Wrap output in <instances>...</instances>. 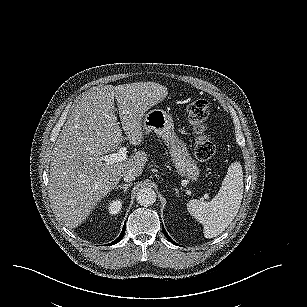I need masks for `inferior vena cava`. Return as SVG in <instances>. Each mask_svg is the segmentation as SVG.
<instances>
[{
	"label": "inferior vena cava",
	"instance_id": "obj_1",
	"mask_svg": "<svg viewBox=\"0 0 307 307\" xmlns=\"http://www.w3.org/2000/svg\"><path fill=\"white\" fill-rule=\"evenodd\" d=\"M135 177L136 176L134 175V173L131 170H128L123 174V178H124L125 182H131V181L135 180Z\"/></svg>",
	"mask_w": 307,
	"mask_h": 307
}]
</instances>
